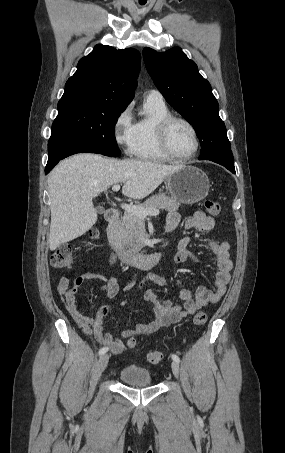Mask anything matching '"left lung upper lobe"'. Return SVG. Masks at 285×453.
I'll use <instances>...</instances> for the list:
<instances>
[{"label":"left lung upper lobe","instance_id":"5c2ea615","mask_svg":"<svg viewBox=\"0 0 285 453\" xmlns=\"http://www.w3.org/2000/svg\"><path fill=\"white\" fill-rule=\"evenodd\" d=\"M143 59L166 101L194 127L201 143L199 159L220 157L233 162L218 102L197 65L180 48L162 53L144 48Z\"/></svg>","mask_w":285,"mask_h":453}]
</instances>
